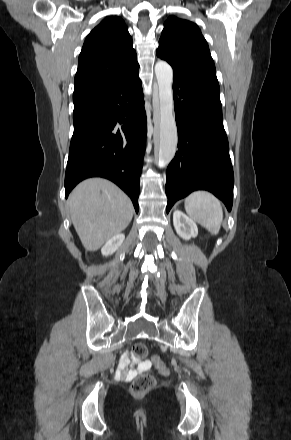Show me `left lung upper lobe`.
Segmentation results:
<instances>
[{
    "label": "left lung upper lobe",
    "instance_id": "left-lung-upper-lobe-1",
    "mask_svg": "<svg viewBox=\"0 0 291 440\" xmlns=\"http://www.w3.org/2000/svg\"><path fill=\"white\" fill-rule=\"evenodd\" d=\"M156 54L173 71L218 83L208 44L196 24L170 16L162 31Z\"/></svg>",
    "mask_w": 291,
    "mask_h": 440
}]
</instances>
